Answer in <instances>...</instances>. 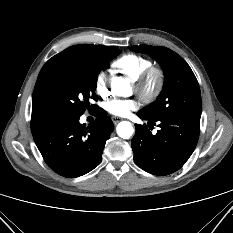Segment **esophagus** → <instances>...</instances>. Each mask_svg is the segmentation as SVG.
Listing matches in <instances>:
<instances>
[{
	"mask_svg": "<svg viewBox=\"0 0 233 233\" xmlns=\"http://www.w3.org/2000/svg\"><path fill=\"white\" fill-rule=\"evenodd\" d=\"M121 120H122V118H120V117H116V116L112 117V121H113L114 124L119 123Z\"/></svg>",
	"mask_w": 233,
	"mask_h": 233,
	"instance_id": "1",
	"label": "esophagus"
}]
</instances>
